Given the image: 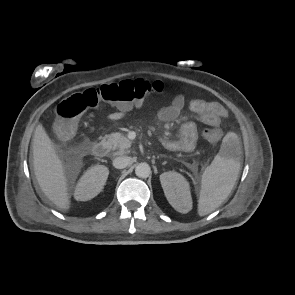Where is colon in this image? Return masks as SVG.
Masks as SVG:
<instances>
[{
	"label": "colon",
	"mask_w": 295,
	"mask_h": 295,
	"mask_svg": "<svg viewBox=\"0 0 295 295\" xmlns=\"http://www.w3.org/2000/svg\"><path fill=\"white\" fill-rule=\"evenodd\" d=\"M163 90L164 85L160 82L127 79L75 93L57 106L56 134L62 140L70 139L83 113L102 103L121 109H132L140 106L152 94H160ZM222 136L223 132L219 124L212 125L204 131V137L213 144L218 143Z\"/></svg>",
	"instance_id": "5ec220e1"
}]
</instances>
